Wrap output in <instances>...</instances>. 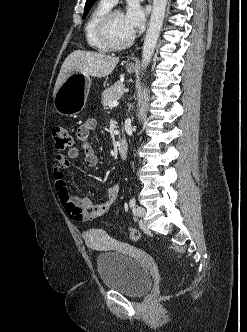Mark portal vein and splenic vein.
<instances>
[{
	"instance_id": "18ae733b",
	"label": "portal vein and splenic vein",
	"mask_w": 247,
	"mask_h": 332,
	"mask_svg": "<svg viewBox=\"0 0 247 332\" xmlns=\"http://www.w3.org/2000/svg\"><path fill=\"white\" fill-rule=\"evenodd\" d=\"M118 104L119 103L116 100H114V101H111V102L108 103V107L113 108V107L118 106Z\"/></svg>"
}]
</instances>
